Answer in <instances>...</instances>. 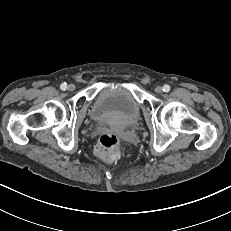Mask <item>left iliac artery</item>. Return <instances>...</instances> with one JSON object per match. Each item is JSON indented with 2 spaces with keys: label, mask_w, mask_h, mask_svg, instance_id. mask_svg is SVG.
<instances>
[{
  "label": "left iliac artery",
  "mask_w": 231,
  "mask_h": 231,
  "mask_svg": "<svg viewBox=\"0 0 231 231\" xmlns=\"http://www.w3.org/2000/svg\"><path fill=\"white\" fill-rule=\"evenodd\" d=\"M163 91H164V92H169V91H170V86L167 85V84H165V85L163 86Z\"/></svg>",
  "instance_id": "44dca946"
}]
</instances>
